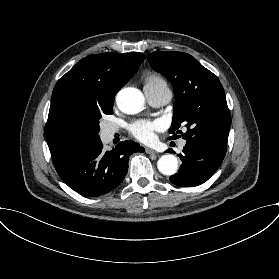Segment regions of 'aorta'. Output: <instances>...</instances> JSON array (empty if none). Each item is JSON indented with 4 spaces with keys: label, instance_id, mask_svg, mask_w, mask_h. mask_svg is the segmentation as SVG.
<instances>
[{
    "label": "aorta",
    "instance_id": "762f6f07",
    "mask_svg": "<svg viewBox=\"0 0 279 279\" xmlns=\"http://www.w3.org/2000/svg\"><path fill=\"white\" fill-rule=\"evenodd\" d=\"M116 102L122 112L136 114L143 110L145 99L140 90L127 87L119 91ZM157 167L162 174L171 176L177 172L178 160L173 154H165L158 160Z\"/></svg>",
    "mask_w": 279,
    "mask_h": 279
}]
</instances>
